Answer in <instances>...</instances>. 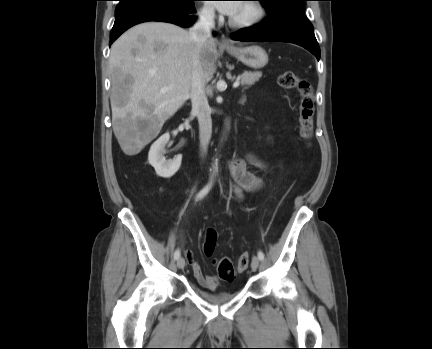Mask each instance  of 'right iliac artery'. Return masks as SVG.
Here are the masks:
<instances>
[{
  "label": "right iliac artery",
  "mask_w": 432,
  "mask_h": 349,
  "mask_svg": "<svg viewBox=\"0 0 432 349\" xmlns=\"http://www.w3.org/2000/svg\"><path fill=\"white\" fill-rule=\"evenodd\" d=\"M211 185H206L196 196V200L202 199L210 190ZM180 257V251L177 249L174 252V259L177 260Z\"/></svg>",
  "instance_id": "1"
}]
</instances>
